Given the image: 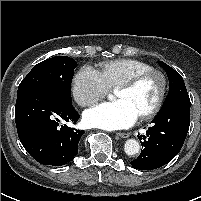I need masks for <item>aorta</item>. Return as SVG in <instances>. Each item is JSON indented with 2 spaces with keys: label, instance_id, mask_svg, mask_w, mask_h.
Wrapping results in <instances>:
<instances>
[{
  "label": "aorta",
  "instance_id": "aorta-1",
  "mask_svg": "<svg viewBox=\"0 0 201 201\" xmlns=\"http://www.w3.org/2000/svg\"><path fill=\"white\" fill-rule=\"evenodd\" d=\"M124 151L127 155L133 156L140 151V145L135 139H128L124 144Z\"/></svg>",
  "mask_w": 201,
  "mask_h": 201
}]
</instances>
